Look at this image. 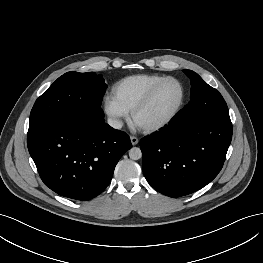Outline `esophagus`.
I'll use <instances>...</instances> for the list:
<instances>
[{"instance_id": "esophagus-1", "label": "esophagus", "mask_w": 263, "mask_h": 263, "mask_svg": "<svg viewBox=\"0 0 263 263\" xmlns=\"http://www.w3.org/2000/svg\"><path fill=\"white\" fill-rule=\"evenodd\" d=\"M130 140H131L132 145H137L139 142L138 138L135 136H131Z\"/></svg>"}]
</instances>
